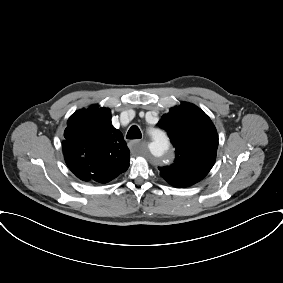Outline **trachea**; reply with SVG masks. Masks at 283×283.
<instances>
[{
  "mask_svg": "<svg viewBox=\"0 0 283 283\" xmlns=\"http://www.w3.org/2000/svg\"><path fill=\"white\" fill-rule=\"evenodd\" d=\"M126 138L127 139H140V138H142V134H141L140 129L136 125H133L129 129Z\"/></svg>",
  "mask_w": 283,
  "mask_h": 283,
  "instance_id": "trachea-1",
  "label": "trachea"
}]
</instances>
